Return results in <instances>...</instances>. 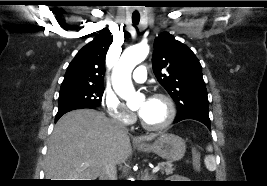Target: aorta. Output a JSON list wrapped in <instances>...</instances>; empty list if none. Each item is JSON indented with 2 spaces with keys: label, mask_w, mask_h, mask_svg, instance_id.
<instances>
[{
  "label": "aorta",
  "mask_w": 267,
  "mask_h": 186,
  "mask_svg": "<svg viewBox=\"0 0 267 186\" xmlns=\"http://www.w3.org/2000/svg\"><path fill=\"white\" fill-rule=\"evenodd\" d=\"M148 53V45L138 44L131 46L123 52L119 62L113 69V88L117 95L126 100L129 105L137 103L139 99L131 81L132 70L145 60Z\"/></svg>",
  "instance_id": "aorta-1"
}]
</instances>
